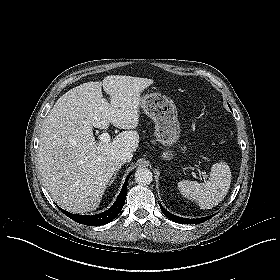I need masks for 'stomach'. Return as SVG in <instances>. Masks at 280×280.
I'll return each mask as SVG.
<instances>
[{
    "label": "stomach",
    "instance_id": "obj_1",
    "mask_svg": "<svg viewBox=\"0 0 280 280\" xmlns=\"http://www.w3.org/2000/svg\"><path fill=\"white\" fill-rule=\"evenodd\" d=\"M140 106L155 123L154 135L164 148L161 157L164 160L172 159L174 152L170 148L178 141L181 132L173 100L159 93H151L141 97Z\"/></svg>",
    "mask_w": 280,
    "mask_h": 280
}]
</instances>
